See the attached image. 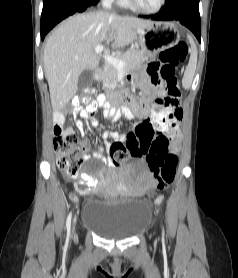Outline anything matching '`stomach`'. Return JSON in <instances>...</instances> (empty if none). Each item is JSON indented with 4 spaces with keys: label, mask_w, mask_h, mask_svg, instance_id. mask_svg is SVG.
<instances>
[{
    "label": "stomach",
    "mask_w": 238,
    "mask_h": 278,
    "mask_svg": "<svg viewBox=\"0 0 238 278\" xmlns=\"http://www.w3.org/2000/svg\"><path fill=\"white\" fill-rule=\"evenodd\" d=\"M138 35L146 60L164 49L175 46L180 40L178 28L170 22H151Z\"/></svg>",
    "instance_id": "obj_1"
}]
</instances>
